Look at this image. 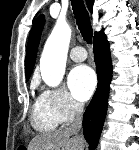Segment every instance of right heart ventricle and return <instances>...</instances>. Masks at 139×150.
<instances>
[{"mask_svg":"<svg viewBox=\"0 0 139 150\" xmlns=\"http://www.w3.org/2000/svg\"><path fill=\"white\" fill-rule=\"evenodd\" d=\"M61 123L56 112L52 108L44 94L39 95L32 106L31 124L37 131L50 132Z\"/></svg>","mask_w":139,"mask_h":150,"instance_id":"obj_1","label":"right heart ventricle"}]
</instances>
